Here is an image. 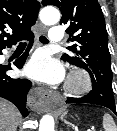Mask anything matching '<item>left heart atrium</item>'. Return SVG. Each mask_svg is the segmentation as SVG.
<instances>
[{
	"label": "left heart atrium",
	"instance_id": "left-heart-atrium-1",
	"mask_svg": "<svg viewBox=\"0 0 117 131\" xmlns=\"http://www.w3.org/2000/svg\"><path fill=\"white\" fill-rule=\"evenodd\" d=\"M25 73L38 81L55 84L64 77V71L59 62L52 59L47 53L37 52L28 62Z\"/></svg>",
	"mask_w": 117,
	"mask_h": 131
}]
</instances>
